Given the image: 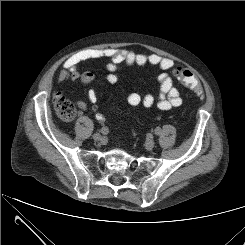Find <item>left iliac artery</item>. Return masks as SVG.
Masks as SVG:
<instances>
[{"instance_id": "obj_1", "label": "left iliac artery", "mask_w": 245, "mask_h": 245, "mask_svg": "<svg viewBox=\"0 0 245 245\" xmlns=\"http://www.w3.org/2000/svg\"><path fill=\"white\" fill-rule=\"evenodd\" d=\"M155 134H156V135H159V134H160V130L157 129V130L155 131Z\"/></svg>"}]
</instances>
